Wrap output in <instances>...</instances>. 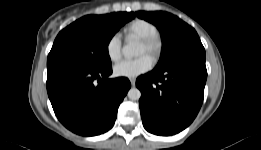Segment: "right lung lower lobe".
I'll use <instances>...</instances> for the list:
<instances>
[{
	"label": "right lung lower lobe",
	"instance_id": "right-lung-lower-lobe-1",
	"mask_svg": "<svg viewBox=\"0 0 261 150\" xmlns=\"http://www.w3.org/2000/svg\"><path fill=\"white\" fill-rule=\"evenodd\" d=\"M111 73V66L99 70L74 66L48 69V96L66 128L82 136L99 135L112 128L131 84L124 77L109 79Z\"/></svg>",
	"mask_w": 261,
	"mask_h": 150
}]
</instances>
